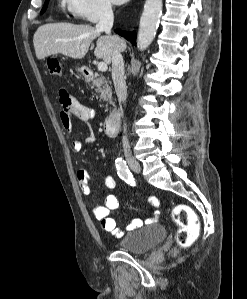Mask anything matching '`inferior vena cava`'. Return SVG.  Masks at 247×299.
I'll list each match as a JSON object with an SVG mask.
<instances>
[{"instance_id": "1", "label": "inferior vena cava", "mask_w": 247, "mask_h": 299, "mask_svg": "<svg viewBox=\"0 0 247 299\" xmlns=\"http://www.w3.org/2000/svg\"><path fill=\"white\" fill-rule=\"evenodd\" d=\"M114 15L112 7L109 3H105L100 8L99 22L96 25V29L99 31H105L108 35L111 34L113 27ZM124 61L121 55V51L118 49L113 50L112 53V79L114 82L115 91L119 102L125 103L127 99V87L124 79ZM127 126L123 125V133L126 134ZM123 150L125 153L130 152V146L127 136L122 137Z\"/></svg>"}]
</instances>
